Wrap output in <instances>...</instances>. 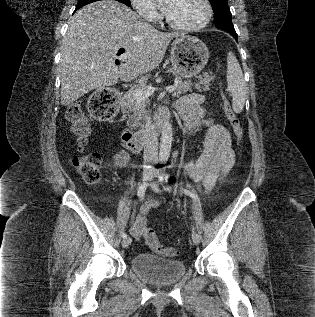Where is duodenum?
Here are the masks:
<instances>
[{"mask_svg": "<svg viewBox=\"0 0 315 317\" xmlns=\"http://www.w3.org/2000/svg\"><path fill=\"white\" fill-rule=\"evenodd\" d=\"M170 118L171 112L167 109H162L156 118V129L160 130ZM145 136L146 134L143 131L126 130L122 133V141L127 150L136 153L143 148Z\"/></svg>", "mask_w": 315, "mask_h": 317, "instance_id": "obj_1", "label": "duodenum"}]
</instances>
